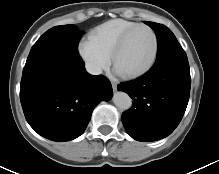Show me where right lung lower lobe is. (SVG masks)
Here are the masks:
<instances>
[{
	"mask_svg": "<svg viewBox=\"0 0 219 174\" xmlns=\"http://www.w3.org/2000/svg\"><path fill=\"white\" fill-rule=\"evenodd\" d=\"M110 81L86 72L78 52H58L23 69L20 100L29 125L52 141H70L93 109L112 97Z\"/></svg>",
	"mask_w": 219,
	"mask_h": 174,
	"instance_id": "right-lung-lower-lobe-1",
	"label": "right lung lower lobe"
}]
</instances>
